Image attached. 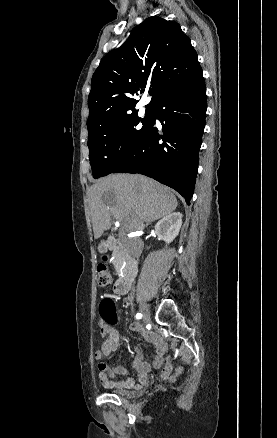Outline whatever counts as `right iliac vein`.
<instances>
[{
    "mask_svg": "<svg viewBox=\"0 0 277 438\" xmlns=\"http://www.w3.org/2000/svg\"><path fill=\"white\" fill-rule=\"evenodd\" d=\"M140 311L143 315L144 322H148L150 320V311L145 304H141Z\"/></svg>",
    "mask_w": 277,
    "mask_h": 438,
    "instance_id": "63e3f726",
    "label": "right iliac vein"
}]
</instances>
